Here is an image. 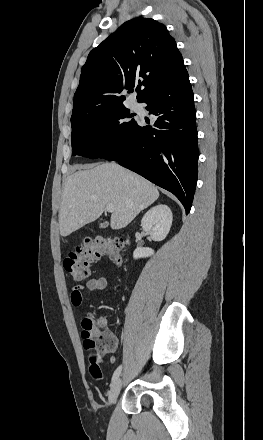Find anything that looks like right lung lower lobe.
Wrapping results in <instances>:
<instances>
[{
  "instance_id": "1",
  "label": "right lung lower lobe",
  "mask_w": 263,
  "mask_h": 440,
  "mask_svg": "<svg viewBox=\"0 0 263 440\" xmlns=\"http://www.w3.org/2000/svg\"><path fill=\"white\" fill-rule=\"evenodd\" d=\"M140 102L154 127L137 124L100 156L117 161L172 192L189 213L198 175V143L193 92L186 70L155 88Z\"/></svg>"
}]
</instances>
